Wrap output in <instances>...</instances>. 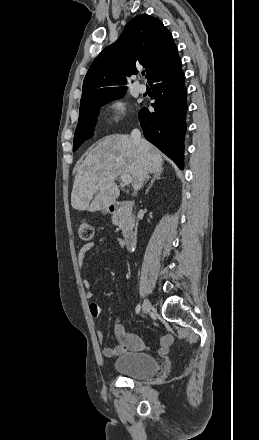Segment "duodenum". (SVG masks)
Wrapping results in <instances>:
<instances>
[{
	"label": "duodenum",
	"instance_id": "duodenum-1",
	"mask_svg": "<svg viewBox=\"0 0 259 440\" xmlns=\"http://www.w3.org/2000/svg\"><path fill=\"white\" fill-rule=\"evenodd\" d=\"M133 203L131 201H113L108 206V211L110 214L117 216L124 209H131ZM124 243L125 246L130 249L134 245V234L132 231H127L124 234Z\"/></svg>",
	"mask_w": 259,
	"mask_h": 440
}]
</instances>
